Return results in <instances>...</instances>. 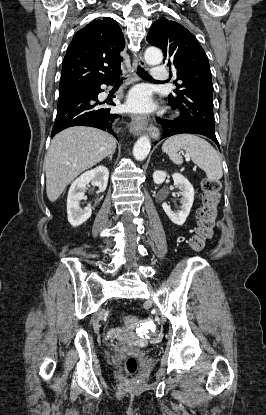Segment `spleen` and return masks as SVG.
<instances>
[{"label":"spleen","instance_id":"spleen-1","mask_svg":"<svg viewBox=\"0 0 266 415\" xmlns=\"http://www.w3.org/2000/svg\"><path fill=\"white\" fill-rule=\"evenodd\" d=\"M185 150L192 161L203 169L209 181H217L222 178V164L218 152L206 140L191 134L175 135L167 139L162 150L171 161L177 165L183 163L182 156L178 153Z\"/></svg>","mask_w":266,"mask_h":415}]
</instances>
